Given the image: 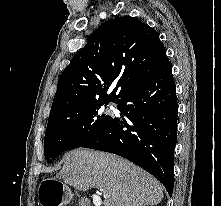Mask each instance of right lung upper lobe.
Segmentation results:
<instances>
[{
    "label": "right lung upper lobe",
    "instance_id": "right-lung-upper-lobe-1",
    "mask_svg": "<svg viewBox=\"0 0 221 206\" xmlns=\"http://www.w3.org/2000/svg\"><path fill=\"white\" fill-rule=\"evenodd\" d=\"M169 63L158 33L139 19L123 16L102 24L58 80L50 115L98 102L119 103ZM116 85L110 94V86Z\"/></svg>",
    "mask_w": 221,
    "mask_h": 206
}]
</instances>
